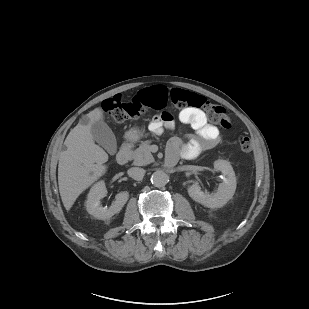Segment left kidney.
Here are the masks:
<instances>
[{
  "instance_id": "1",
  "label": "left kidney",
  "mask_w": 309,
  "mask_h": 309,
  "mask_svg": "<svg viewBox=\"0 0 309 309\" xmlns=\"http://www.w3.org/2000/svg\"><path fill=\"white\" fill-rule=\"evenodd\" d=\"M214 170L221 171L223 182L219 184L218 190L214 194L201 191L198 183H194L188 188L189 196L196 202L208 208H220L232 199L236 190V177L231 164L226 160H216Z\"/></svg>"
}]
</instances>
